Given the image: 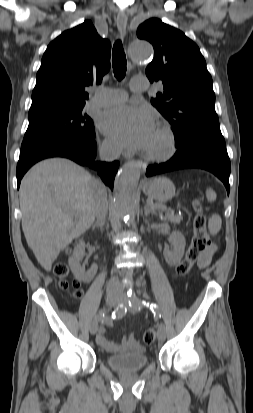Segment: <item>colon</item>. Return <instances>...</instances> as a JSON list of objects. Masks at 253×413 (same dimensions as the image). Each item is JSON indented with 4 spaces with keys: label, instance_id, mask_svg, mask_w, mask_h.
I'll return each instance as SVG.
<instances>
[{
    "label": "colon",
    "instance_id": "colon-1",
    "mask_svg": "<svg viewBox=\"0 0 253 413\" xmlns=\"http://www.w3.org/2000/svg\"><path fill=\"white\" fill-rule=\"evenodd\" d=\"M193 209L195 211V218L193 222V237L191 244L188 247L184 258L176 266L174 278L186 276L192 267L199 262L204 252L211 245L210 238L207 231V220L203 211L202 204L199 200H194ZM54 274L60 278V287L63 290H73V296L79 298L81 290L79 282L76 280H68L69 268L63 263H57L54 266ZM156 332L149 328L143 334V340L146 344H151L155 340Z\"/></svg>",
    "mask_w": 253,
    "mask_h": 413
}]
</instances>
